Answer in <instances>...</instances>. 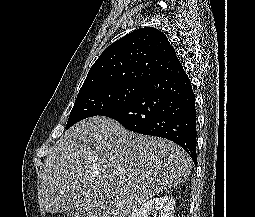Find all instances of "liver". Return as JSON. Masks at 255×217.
<instances>
[{"label":"liver","instance_id":"1","mask_svg":"<svg viewBox=\"0 0 255 217\" xmlns=\"http://www.w3.org/2000/svg\"><path fill=\"white\" fill-rule=\"evenodd\" d=\"M191 168V158L177 144L94 116L72 126L52 147L38 202L52 214L83 209L87 217H127L180 184Z\"/></svg>","mask_w":255,"mask_h":217}]
</instances>
